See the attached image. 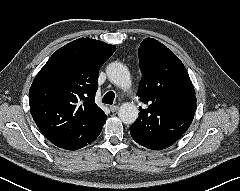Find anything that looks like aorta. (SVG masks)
Segmentation results:
<instances>
[{"mask_svg":"<svg viewBox=\"0 0 240 191\" xmlns=\"http://www.w3.org/2000/svg\"><path fill=\"white\" fill-rule=\"evenodd\" d=\"M106 74L109 81L120 88L126 89L131 85L129 70L122 63H110L106 68ZM138 114V108L129 102L123 103L118 110V116L124 124L134 123Z\"/></svg>","mask_w":240,"mask_h":191,"instance_id":"1","label":"aorta"}]
</instances>
